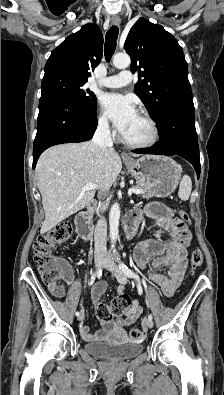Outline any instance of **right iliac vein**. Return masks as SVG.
<instances>
[{
  "instance_id": "63e3f726",
  "label": "right iliac vein",
  "mask_w": 224,
  "mask_h": 395,
  "mask_svg": "<svg viewBox=\"0 0 224 395\" xmlns=\"http://www.w3.org/2000/svg\"><path fill=\"white\" fill-rule=\"evenodd\" d=\"M103 262V255H96L95 256V268L99 269L101 264ZM85 317L84 311L82 310L81 313L78 316V321H82Z\"/></svg>"
}]
</instances>
